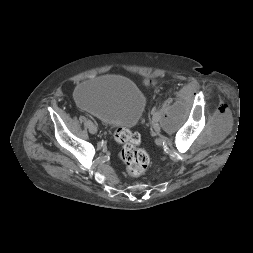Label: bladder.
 <instances>
[{
    "label": "bladder",
    "instance_id": "bladder-1",
    "mask_svg": "<svg viewBox=\"0 0 253 253\" xmlns=\"http://www.w3.org/2000/svg\"><path fill=\"white\" fill-rule=\"evenodd\" d=\"M77 104L105 125L131 128L141 118L146 97L138 86L121 76H99L79 83L74 90Z\"/></svg>",
    "mask_w": 253,
    "mask_h": 253
}]
</instances>
